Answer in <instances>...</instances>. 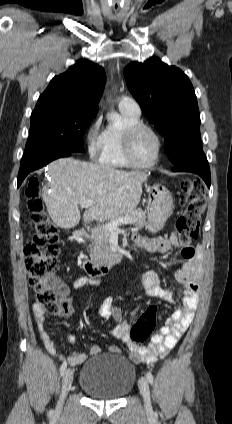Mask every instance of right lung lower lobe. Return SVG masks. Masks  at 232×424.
<instances>
[{"instance_id":"right-lung-lower-lobe-1","label":"right lung lower lobe","mask_w":232,"mask_h":424,"mask_svg":"<svg viewBox=\"0 0 232 424\" xmlns=\"http://www.w3.org/2000/svg\"><path fill=\"white\" fill-rule=\"evenodd\" d=\"M72 151H46L36 154L29 160L25 162H21L20 169L18 173V187L21 185L24 178L32 171L37 170L49 162L61 158V157H69L73 154Z\"/></svg>"}]
</instances>
